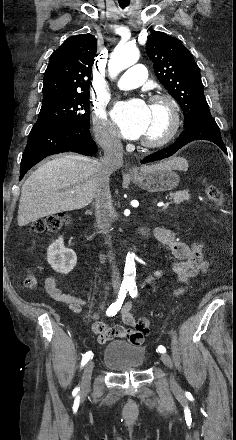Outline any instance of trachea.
<instances>
[{"label":"trachea","instance_id":"obj_1","mask_svg":"<svg viewBox=\"0 0 236 440\" xmlns=\"http://www.w3.org/2000/svg\"><path fill=\"white\" fill-rule=\"evenodd\" d=\"M119 5L124 9L125 7H127L129 5V3H121V2H119Z\"/></svg>","mask_w":236,"mask_h":440}]
</instances>
